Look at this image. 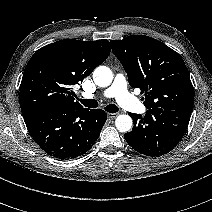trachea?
Masks as SVG:
<instances>
[{
  "mask_svg": "<svg viewBox=\"0 0 212 212\" xmlns=\"http://www.w3.org/2000/svg\"><path fill=\"white\" fill-rule=\"evenodd\" d=\"M80 102L88 108H96L98 107V102L94 99H79ZM105 110L109 113H116L118 112L119 108L114 104H109L105 107Z\"/></svg>",
  "mask_w": 212,
  "mask_h": 212,
  "instance_id": "3493384b",
  "label": "trachea"
}]
</instances>
